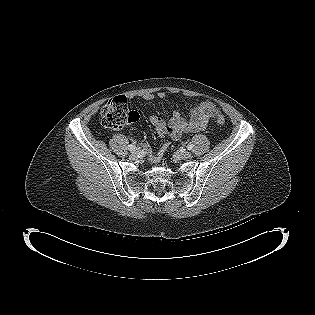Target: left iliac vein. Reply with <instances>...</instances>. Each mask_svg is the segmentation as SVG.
I'll return each instance as SVG.
<instances>
[{"label":"left iliac vein","instance_id":"obj_1","mask_svg":"<svg viewBox=\"0 0 315 315\" xmlns=\"http://www.w3.org/2000/svg\"><path fill=\"white\" fill-rule=\"evenodd\" d=\"M178 155L181 159H189L191 158L192 154L189 151H181L178 153Z\"/></svg>","mask_w":315,"mask_h":315}]
</instances>
